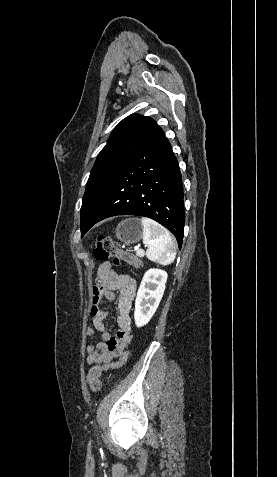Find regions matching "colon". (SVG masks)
Returning <instances> with one entry per match:
<instances>
[{"instance_id": "obj_1", "label": "colon", "mask_w": 277, "mask_h": 477, "mask_svg": "<svg viewBox=\"0 0 277 477\" xmlns=\"http://www.w3.org/2000/svg\"><path fill=\"white\" fill-rule=\"evenodd\" d=\"M94 257L97 260L107 261L112 260L114 265H120L126 263L129 268H142L143 260L140 256L118 247L107 236L99 235L95 238ZM102 371L99 366H94L88 373V384L92 390H98L100 388V375Z\"/></svg>"}]
</instances>
